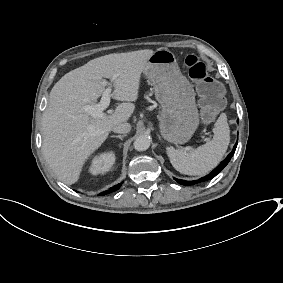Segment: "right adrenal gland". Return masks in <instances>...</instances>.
<instances>
[{
    "label": "right adrenal gland",
    "instance_id": "obj_1",
    "mask_svg": "<svg viewBox=\"0 0 283 283\" xmlns=\"http://www.w3.org/2000/svg\"><path fill=\"white\" fill-rule=\"evenodd\" d=\"M126 136V134H119V135H111L110 138H119L120 140H123L122 137Z\"/></svg>",
    "mask_w": 283,
    "mask_h": 283
}]
</instances>
